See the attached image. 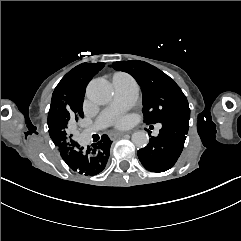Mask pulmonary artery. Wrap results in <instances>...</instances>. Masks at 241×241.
Here are the masks:
<instances>
[{
  "instance_id": "obj_1",
  "label": "pulmonary artery",
  "mask_w": 241,
  "mask_h": 241,
  "mask_svg": "<svg viewBox=\"0 0 241 241\" xmlns=\"http://www.w3.org/2000/svg\"><path fill=\"white\" fill-rule=\"evenodd\" d=\"M114 97L96 118L98 126H105L113 117H119L134 103L135 85L133 78L126 73H117L112 78ZM160 129L158 126L155 128Z\"/></svg>"
}]
</instances>
